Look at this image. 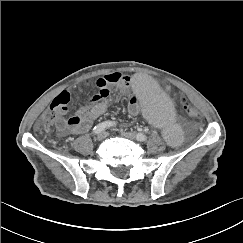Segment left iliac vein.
<instances>
[{
  "mask_svg": "<svg viewBox=\"0 0 243 243\" xmlns=\"http://www.w3.org/2000/svg\"><path fill=\"white\" fill-rule=\"evenodd\" d=\"M121 135L127 138H136V134L134 132L121 131Z\"/></svg>",
  "mask_w": 243,
  "mask_h": 243,
  "instance_id": "1",
  "label": "left iliac vein"
}]
</instances>
